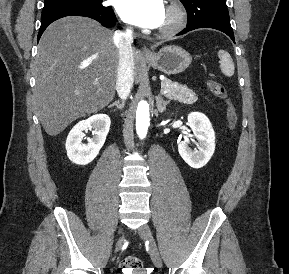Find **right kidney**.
Here are the masks:
<instances>
[{
  "instance_id": "right-kidney-1",
  "label": "right kidney",
  "mask_w": 289,
  "mask_h": 274,
  "mask_svg": "<svg viewBox=\"0 0 289 274\" xmlns=\"http://www.w3.org/2000/svg\"><path fill=\"white\" fill-rule=\"evenodd\" d=\"M110 118L106 114H96L78 122L69 132L66 140L68 158L75 164L87 165L99 154L110 129ZM92 130V138L83 143L84 131Z\"/></svg>"
}]
</instances>
